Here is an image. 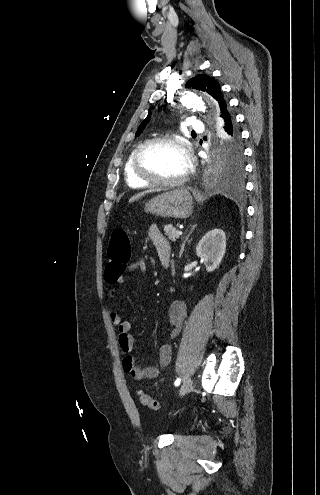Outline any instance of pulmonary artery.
Returning <instances> with one entry per match:
<instances>
[{
	"instance_id": "1",
	"label": "pulmonary artery",
	"mask_w": 320,
	"mask_h": 495,
	"mask_svg": "<svg viewBox=\"0 0 320 495\" xmlns=\"http://www.w3.org/2000/svg\"><path fill=\"white\" fill-rule=\"evenodd\" d=\"M189 123H190V128L193 129L194 131H201L203 128L202 122L194 117L190 118Z\"/></svg>"
}]
</instances>
